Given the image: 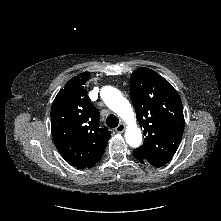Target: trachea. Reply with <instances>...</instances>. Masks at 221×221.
<instances>
[{"label": "trachea", "instance_id": "trachea-1", "mask_svg": "<svg viewBox=\"0 0 221 221\" xmlns=\"http://www.w3.org/2000/svg\"><path fill=\"white\" fill-rule=\"evenodd\" d=\"M106 123H107V126H109L111 128H115L118 126L119 120L114 114H110V115H108V117L106 119Z\"/></svg>", "mask_w": 221, "mask_h": 221}]
</instances>
